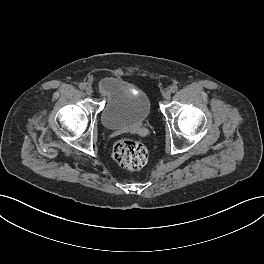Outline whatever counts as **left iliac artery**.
I'll list each match as a JSON object with an SVG mask.
<instances>
[{
	"mask_svg": "<svg viewBox=\"0 0 264 264\" xmlns=\"http://www.w3.org/2000/svg\"><path fill=\"white\" fill-rule=\"evenodd\" d=\"M177 90H178V87L176 85H172L171 88H170V91L172 93H175Z\"/></svg>",
	"mask_w": 264,
	"mask_h": 264,
	"instance_id": "left-iliac-artery-1",
	"label": "left iliac artery"
}]
</instances>
